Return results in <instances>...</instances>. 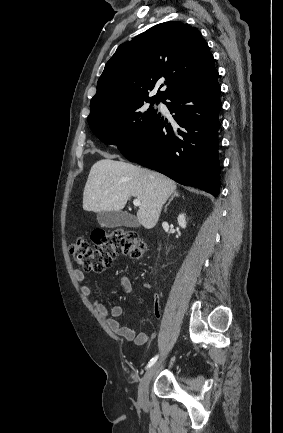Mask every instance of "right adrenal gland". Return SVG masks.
Masks as SVG:
<instances>
[{
    "label": "right adrenal gland",
    "mask_w": 283,
    "mask_h": 433,
    "mask_svg": "<svg viewBox=\"0 0 283 433\" xmlns=\"http://www.w3.org/2000/svg\"><path fill=\"white\" fill-rule=\"evenodd\" d=\"M174 196H180L178 190H174V192H173V194H172V196H171L169 202H167V204H165L164 212H166V210H167V206H168V204H170L171 200H173Z\"/></svg>",
    "instance_id": "right-adrenal-gland-1"
}]
</instances>
